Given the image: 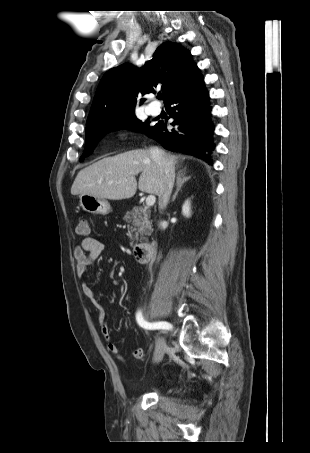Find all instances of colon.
Wrapping results in <instances>:
<instances>
[{"instance_id":"obj_1","label":"colon","mask_w":310,"mask_h":453,"mask_svg":"<svg viewBox=\"0 0 310 453\" xmlns=\"http://www.w3.org/2000/svg\"><path fill=\"white\" fill-rule=\"evenodd\" d=\"M76 232L80 236H88L90 233V226L89 223L86 219H81L78 222Z\"/></svg>"}]
</instances>
